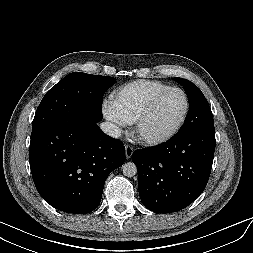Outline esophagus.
Here are the masks:
<instances>
[{"label": "esophagus", "mask_w": 253, "mask_h": 253, "mask_svg": "<svg viewBox=\"0 0 253 253\" xmlns=\"http://www.w3.org/2000/svg\"><path fill=\"white\" fill-rule=\"evenodd\" d=\"M133 148L130 145H126L125 146V155H126V159H130L132 154H133Z\"/></svg>", "instance_id": "1"}]
</instances>
